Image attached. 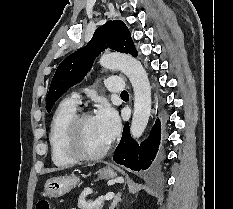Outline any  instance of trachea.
I'll use <instances>...</instances> for the list:
<instances>
[{
	"mask_svg": "<svg viewBox=\"0 0 233 209\" xmlns=\"http://www.w3.org/2000/svg\"><path fill=\"white\" fill-rule=\"evenodd\" d=\"M120 95L121 96L128 95V92L127 91H122Z\"/></svg>",
	"mask_w": 233,
	"mask_h": 209,
	"instance_id": "obj_1",
	"label": "trachea"
}]
</instances>
